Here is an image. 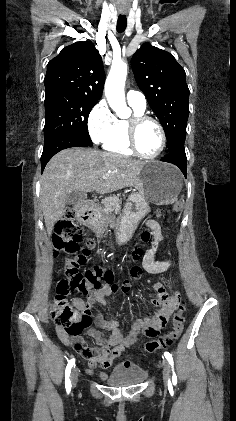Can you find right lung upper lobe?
Instances as JSON below:
<instances>
[{
    "instance_id": "obj_1",
    "label": "right lung upper lobe",
    "mask_w": 236,
    "mask_h": 421,
    "mask_svg": "<svg viewBox=\"0 0 236 421\" xmlns=\"http://www.w3.org/2000/svg\"><path fill=\"white\" fill-rule=\"evenodd\" d=\"M105 73L95 46L76 42L61 50L47 65L45 91L67 92L98 100L103 91Z\"/></svg>"
}]
</instances>
